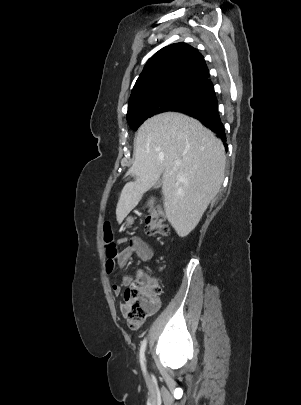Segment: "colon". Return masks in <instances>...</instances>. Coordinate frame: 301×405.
Instances as JSON below:
<instances>
[{"label":"colon","instance_id":"5ec220e1","mask_svg":"<svg viewBox=\"0 0 301 405\" xmlns=\"http://www.w3.org/2000/svg\"><path fill=\"white\" fill-rule=\"evenodd\" d=\"M145 231L150 236L168 235L166 216L162 210L153 208L149 211ZM103 238L107 256L113 258L118 248L114 242L110 222L103 224ZM160 295V284L144 274H139L136 281L129 285L123 296L121 310L131 328L137 329L142 326L146 318L158 309Z\"/></svg>","mask_w":301,"mask_h":405}]
</instances>
